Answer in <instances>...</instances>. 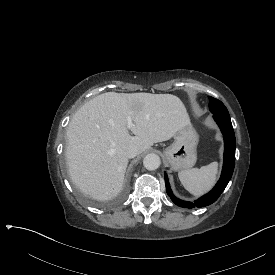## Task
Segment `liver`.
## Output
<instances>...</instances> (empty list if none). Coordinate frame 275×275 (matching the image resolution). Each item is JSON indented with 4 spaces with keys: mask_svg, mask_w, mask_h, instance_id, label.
Returning <instances> with one entry per match:
<instances>
[{
    "mask_svg": "<svg viewBox=\"0 0 275 275\" xmlns=\"http://www.w3.org/2000/svg\"><path fill=\"white\" fill-rule=\"evenodd\" d=\"M129 115L135 136L127 129ZM188 122L184 104L171 94H100L80 107L68 125L70 178L84 194L109 200L123 187L127 145H136L142 153L154 143L169 140Z\"/></svg>",
    "mask_w": 275,
    "mask_h": 275,
    "instance_id": "6515ba94",
    "label": "liver"
}]
</instances>
